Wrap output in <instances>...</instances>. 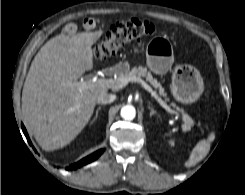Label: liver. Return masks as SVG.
Returning a JSON list of instances; mask_svg holds the SVG:
<instances>
[{
  "label": "liver",
  "instance_id": "6515ba94",
  "mask_svg": "<svg viewBox=\"0 0 245 195\" xmlns=\"http://www.w3.org/2000/svg\"><path fill=\"white\" fill-rule=\"evenodd\" d=\"M103 31L58 35L33 59L22 91L24 122L40 147L69 144L89 122L107 87L83 86L77 80L93 69V44Z\"/></svg>",
  "mask_w": 245,
  "mask_h": 195
}]
</instances>
